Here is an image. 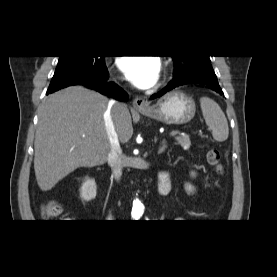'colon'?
I'll return each mask as SVG.
<instances>
[{
  "mask_svg": "<svg viewBox=\"0 0 277 277\" xmlns=\"http://www.w3.org/2000/svg\"><path fill=\"white\" fill-rule=\"evenodd\" d=\"M207 160L209 164L214 166L217 170H221V155L216 149H209L207 151ZM61 213V207L54 201L47 202L42 211L44 218H55Z\"/></svg>",
  "mask_w": 277,
  "mask_h": 277,
  "instance_id": "colon-1",
  "label": "colon"
}]
</instances>
